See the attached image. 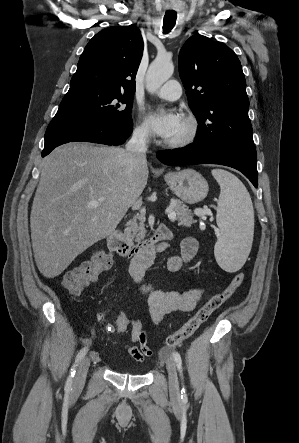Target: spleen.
Returning <instances> with one entry per match:
<instances>
[{
	"mask_svg": "<svg viewBox=\"0 0 299 443\" xmlns=\"http://www.w3.org/2000/svg\"><path fill=\"white\" fill-rule=\"evenodd\" d=\"M220 185L217 225L220 234L214 247L219 266L227 272L238 271L249 255L254 231V210L243 183L232 173L212 170Z\"/></svg>",
	"mask_w": 299,
	"mask_h": 443,
	"instance_id": "1",
	"label": "spleen"
}]
</instances>
